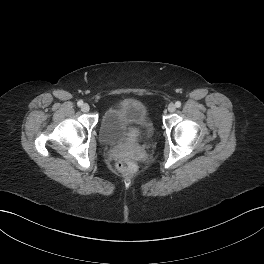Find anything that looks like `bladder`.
<instances>
[{
	"label": "bladder",
	"instance_id": "bladder-1",
	"mask_svg": "<svg viewBox=\"0 0 264 264\" xmlns=\"http://www.w3.org/2000/svg\"><path fill=\"white\" fill-rule=\"evenodd\" d=\"M155 132L147 108L135 100H125L108 108L99 125L101 142L110 146L135 141L148 142L154 138Z\"/></svg>",
	"mask_w": 264,
	"mask_h": 264
}]
</instances>
